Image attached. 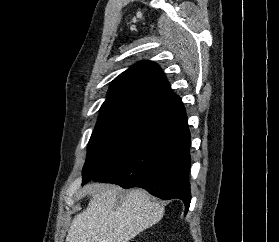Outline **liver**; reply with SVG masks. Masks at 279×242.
Returning <instances> with one entry per match:
<instances>
[{"label":"liver","instance_id":"1","mask_svg":"<svg viewBox=\"0 0 279 242\" xmlns=\"http://www.w3.org/2000/svg\"><path fill=\"white\" fill-rule=\"evenodd\" d=\"M87 188L92 198L74 217L66 242H129L164 215V207L142 189L127 192L118 203L117 186L90 183Z\"/></svg>","mask_w":279,"mask_h":242}]
</instances>
